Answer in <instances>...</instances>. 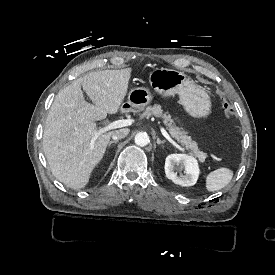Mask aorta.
Listing matches in <instances>:
<instances>
[{
	"instance_id": "obj_1",
	"label": "aorta",
	"mask_w": 275,
	"mask_h": 275,
	"mask_svg": "<svg viewBox=\"0 0 275 275\" xmlns=\"http://www.w3.org/2000/svg\"><path fill=\"white\" fill-rule=\"evenodd\" d=\"M135 144L144 147L149 144L150 139L146 132H139L134 137Z\"/></svg>"
}]
</instances>
